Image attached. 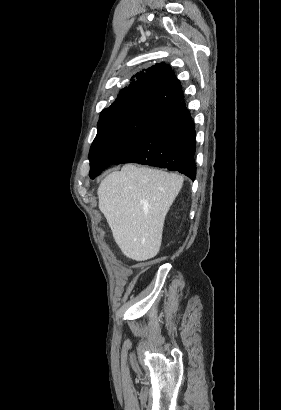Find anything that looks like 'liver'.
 Wrapping results in <instances>:
<instances>
[{"label":"liver","instance_id":"6515ba94","mask_svg":"<svg viewBox=\"0 0 281 410\" xmlns=\"http://www.w3.org/2000/svg\"><path fill=\"white\" fill-rule=\"evenodd\" d=\"M183 181L178 174L133 164L101 181L99 209L125 256L145 261L157 255L166 214Z\"/></svg>","mask_w":281,"mask_h":410}]
</instances>
